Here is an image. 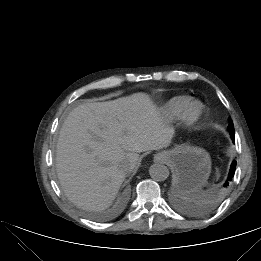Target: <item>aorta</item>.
Instances as JSON below:
<instances>
[{
  "mask_svg": "<svg viewBox=\"0 0 261 261\" xmlns=\"http://www.w3.org/2000/svg\"><path fill=\"white\" fill-rule=\"evenodd\" d=\"M150 176L156 181H164L169 176V169L163 164H153L149 168Z\"/></svg>",
  "mask_w": 261,
  "mask_h": 261,
  "instance_id": "762f6f07",
  "label": "aorta"
}]
</instances>
